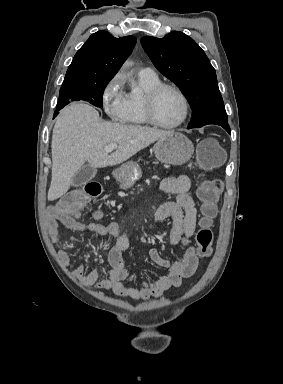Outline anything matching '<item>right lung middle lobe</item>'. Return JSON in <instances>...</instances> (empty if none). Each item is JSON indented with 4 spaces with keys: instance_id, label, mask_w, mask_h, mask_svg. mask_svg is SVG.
Returning a JSON list of instances; mask_svg holds the SVG:
<instances>
[{
    "instance_id": "1",
    "label": "right lung middle lobe",
    "mask_w": 283,
    "mask_h": 384,
    "mask_svg": "<svg viewBox=\"0 0 283 384\" xmlns=\"http://www.w3.org/2000/svg\"><path fill=\"white\" fill-rule=\"evenodd\" d=\"M108 83L61 87L57 109H61L72 101H87L102 108L103 92Z\"/></svg>"
}]
</instances>
